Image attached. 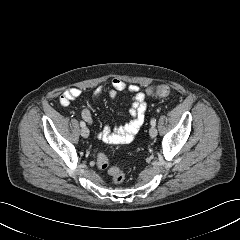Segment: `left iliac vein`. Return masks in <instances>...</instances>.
<instances>
[{
  "instance_id": "1",
  "label": "left iliac vein",
  "mask_w": 240,
  "mask_h": 240,
  "mask_svg": "<svg viewBox=\"0 0 240 240\" xmlns=\"http://www.w3.org/2000/svg\"><path fill=\"white\" fill-rule=\"evenodd\" d=\"M149 134L152 138L157 136V129L155 128V126H151L149 129Z\"/></svg>"
}]
</instances>
